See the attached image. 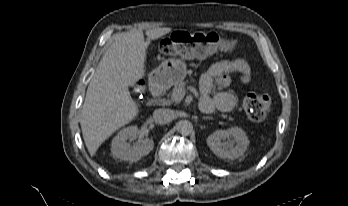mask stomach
<instances>
[{
	"label": "stomach",
	"mask_w": 348,
	"mask_h": 206,
	"mask_svg": "<svg viewBox=\"0 0 348 206\" xmlns=\"http://www.w3.org/2000/svg\"><path fill=\"white\" fill-rule=\"evenodd\" d=\"M181 45L184 48L186 58L203 59L207 55L210 42L205 40L206 35H188ZM156 82L163 86H171L181 82L186 77V64L183 58H169L164 60L156 69L151 72Z\"/></svg>",
	"instance_id": "0dacf381"
}]
</instances>
